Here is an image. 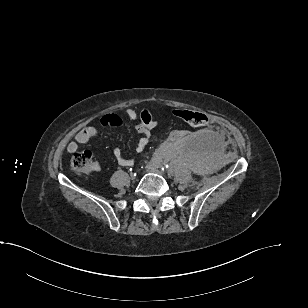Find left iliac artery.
<instances>
[{
    "label": "left iliac artery",
    "instance_id": "44dca946",
    "mask_svg": "<svg viewBox=\"0 0 308 308\" xmlns=\"http://www.w3.org/2000/svg\"><path fill=\"white\" fill-rule=\"evenodd\" d=\"M161 169L164 170H168L169 169V165L168 164H164Z\"/></svg>",
    "mask_w": 308,
    "mask_h": 308
}]
</instances>
